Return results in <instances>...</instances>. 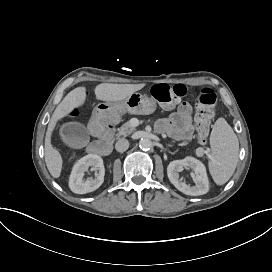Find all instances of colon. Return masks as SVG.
I'll return each mask as SVG.
<instances>
[{"instance_id":"obj_1","label":"colon","mask_w":272,"mask_h":272,"mask_svg":"<svg viewBox=\"0 0 272 272\" xmlns=\"http://www.w3.org/2000/svg\"><path fill=\"white\" fill-rule=\"evenodd\" d=\"M154 98L161 103L171 102L175 99L184 97L190 93H196V124L198 135L203 143L207 141L210 123L215 117L214 106L217 102V95L215 91L209 87H202L201 89L189 87L183 84H176L173 87L169 85H155L152 88ZM77 107L72 106L67 116L71 119L77 116Z\"/></svg>"}]
</instances>
